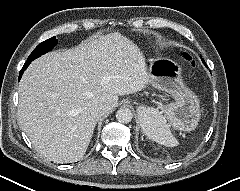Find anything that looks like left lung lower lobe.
I'll return each instance as SVG.
<instances>
[{
  "instance_id": "0a47b994",
  "label": "left lung lower lobe",
  "mask_w": 240,
  "mask_h": 191,
  "mask_svg": "<svg viewBox=\"0 0 240 191\" xmlns=\"http://www.w3.org/2000/svg\"><path fill=\"white\" fill-rule=\"evenodd\" d=\"M202 61H203V63L205 64V62H204V60L202 59ZM205 66H206V64H205ZM207 67V66H206Z\"/></svg>"
}]
</instances>
